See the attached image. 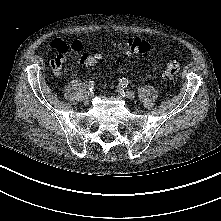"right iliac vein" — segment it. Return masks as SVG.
Wrapping results in <instances>:
<instances>
[{"instance_id":"63e3f726","label":"right iliac vein","mask_w":221,"mask_h":221,"mask_svg":"<svg viewBox=\"0 0 221 221\" xmlns=\"http://www.w3.org/2000/svg\"><path fill=\"white\" fill-rule=\"evenodd\" d=\"M85 101H89V99L91 98V92H89L88 90H86L84 92V96H83Z\"/></svg>"}]
</instances>
